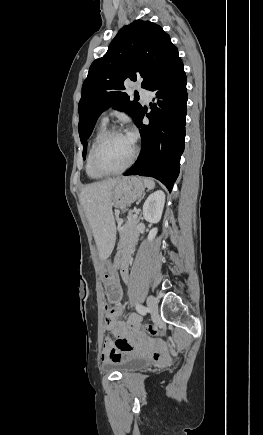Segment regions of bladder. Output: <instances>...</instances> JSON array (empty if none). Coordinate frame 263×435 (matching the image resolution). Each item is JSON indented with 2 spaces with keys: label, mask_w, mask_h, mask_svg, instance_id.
<instances>
[{
  "label": "bladder",
  "mask_w": 263,
  "mask_h": 435,
  "mask_svg": "<svg viewBox=\"0 0 263 435\" xmlns=\"http://www.w3.org/2000/svg\"><path fill=\"white\" fill-rule=\"evenodd\" d=\"M148 360L142 356L128 355L122 360L105 365L108 370H117L121 373H130L146 366Z\"/></svg>",
  "instance_id": "1"
}]
</instances>
